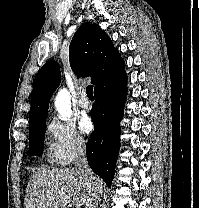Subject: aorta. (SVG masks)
<instances>
[{
    "label": "aorta",
    "instance_id": "aorta-1",
    "mask_svg": "<svg viewBox=\"0 0 199 208\" xmlns=\"http://www.w3.org/2000/svg\"><path fill=\"white\" fill-rule=\"evenodd\" d=\"M55 107L62 120H68L71 117V98L66 89H61L55 98Z\"/></svg>",
    "mask_w": 199,
    "mask_h": 208
}]
</instances>
